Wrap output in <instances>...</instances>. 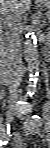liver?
<instances>
[{
  "label": "liver",
  "mask_w": 50,
  "mask_h": 148,
  "mask_svg": "<svg viewBox=\"0 0 50 148\" xmlns=\"http://www.w3.org/2000/svg\"><path fill=\"white\" fill-rule=\"evenodd\" d=\"M30 0H1L0 1V13L1 16L5 11H19L23 13L27 11L30 7Z\"/></svg>",
  "instance_id": "liver-1"
}]
</instances>
